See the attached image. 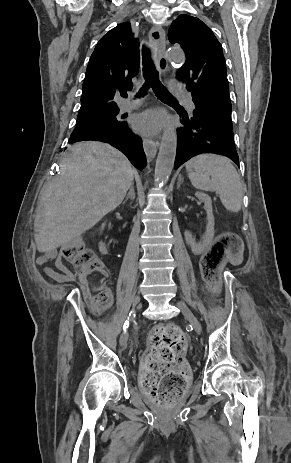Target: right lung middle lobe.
Wrapping results in <instances>:
<instances>
[{"label":"right lung middle lobe","mask_w":291,"mask_h":463,"mask_svg":"<svg viewBox=\"0 0 291 463\" xmlns=\"http://www.w3.org/2000/svg\"><path fill=\"white\" fill-rule=\"evenodd\" d=\"M119 110L101 113L88 118H77L76 128L71 135L90 131L101 127L117 126L122 122L118 119Z\"/></svg>","instance_id":"1"}]
</instances>
